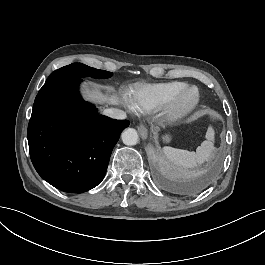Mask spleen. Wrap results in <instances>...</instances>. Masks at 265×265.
<instances>
[{
    "label": "spleen",
    "mask_w": 265,
    "mask_h": 265,
    "mask_svg": "<svg viewBox=\"0 0 265 265\" xmlns=\"http://www.w3.org/2000/svg\"><path fill=\"white\" fill-rule=\"evenodd\" d=\"M214 135V129L209 126L205 136L207 140L203 141L201 146L197 147L196 152L176 149L169 146L163 147V152L166 158L174 165L185 169H193L201 166L204 162L212 158Z\"/></svg>",
    "instance_id": "spleen-1"
}]
</instances>
